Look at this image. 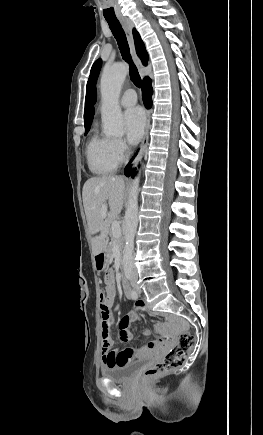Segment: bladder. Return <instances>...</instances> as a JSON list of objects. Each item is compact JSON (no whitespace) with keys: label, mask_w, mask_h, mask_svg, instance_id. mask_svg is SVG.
Listing matches in <instances>:
<instances>
[{"label":"bladder","mask_w":263,"mask_h":435,"mask_svg":"<svg viewBox=\"0 0 263 435\" xmlns=\"http://www.w3.org/2000/svg\"><path fill=\"white\" fill-rule=\"evenodd\" d=\"M144 363L145 360L140 359L120 366H104L101 368V375L115 382H126L135 375Z\"/></svg>","instance_id":"1"}]
</instances>
